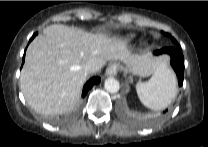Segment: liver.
<instances>
[{
	"instance_id": "obj_1",
	"label": "liver",
	"mask_w": 208,
	"mask_h": 147,
	"mask_svg": "<svg viewBox=\"0 0 208 147\" xmlns=\"http://www.w3.org/2000/svg\"><path fill=\"white\" fill-rule=\"evenodd\" d=\"M108 60H119L142 77L156 73L165 64L163 57L131 54L120 38L53 24L29 44L20 89L36 112L64 114L71 111L80 98L87 78L84 67L91 65L96 73Z\"/></svg>"
}]
</instances>
